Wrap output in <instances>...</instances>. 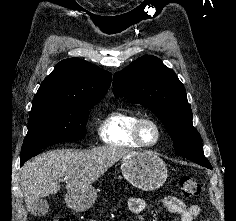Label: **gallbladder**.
Wrapping results in <instances>:
<instances>
[{
	"mask_svg": "<svg viewBox=\"0 0 236 221\" xmlns=\"http://www.w3.org/2000/svg\"><path fill=\"white\" fill-rule=\"evenodd\" d=\"M48 210H49V204L47 200L43 198L36 199L33 202L32 208H31L32 214L38 217L45 216Z\"/></svg>",
	"mask_w": 236,
	"mask_h": 221,
	"instance_id": "bac80fb5",
	"label": "gallbladder"
}]
</instances>
